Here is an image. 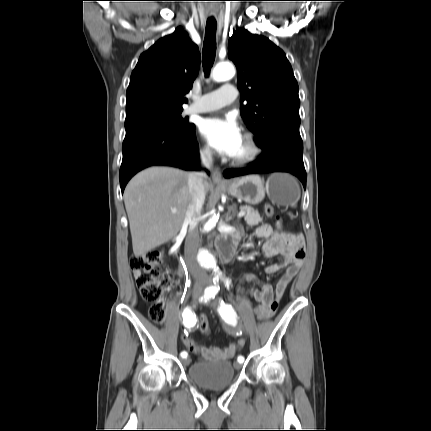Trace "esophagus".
Here are the masks:
<instances>
[{
  "mask_svg": "<svg viewBox=\"0 0 431 431\" xmlns=\"http://www.w3.org/2000/svg\"><path fill=\"white\" fill-rule=\"evenodd\" d=\"M212 179L215 183H227V181L222 177V174L219 169L216 168L212 170Z\"/></svg>",
  "mask_w": 431,
  "mask_h": 431,
  "instance_id": "1",
  "label": "esophagus"
}]
</instances>
